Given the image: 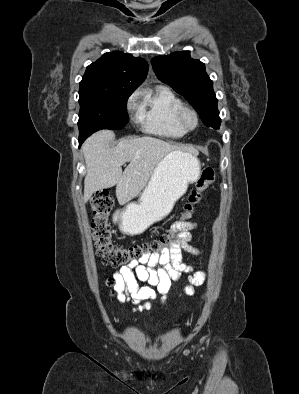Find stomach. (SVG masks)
Returning a JSON list of instances; mask_svg holds the SVG:
<instances>
[{
  "label": "stomach",
  "instance_id": "0dacf381",
  "mask_svg": "<svg viewBox=\"0 0 299 394\" xmlns=\"http://www.w3.org/2000/svg\"><path fill=\"white\" fill-rule=\"evenodd\" d=\"M199 174L200 162L194 153L182 150L168 153L157 165L139 200L122 210L120 230L137 235L165 218Z\"/></svg>",
  "mask_w": 299,
  "mask_h": 394
}]
</instances>
